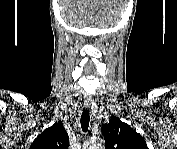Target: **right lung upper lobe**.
<instances>
[{"instance_id":"right-lung-upper-lobe-1","label":"right lung upper lobe","mask_w":177,"mask_h":149,"mask_svg":"<svg viewBox=\"0 0 177 149\" xmlns=\"http://www.w3.org/2000/svg\"><path fill=\"white\" fill-rule=\"evenodd\" d=\"M69 137L62 122L58 121L53 126L44 130L33 141L31 149H68Z\"/></svg>"}]
</instances>
